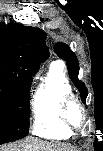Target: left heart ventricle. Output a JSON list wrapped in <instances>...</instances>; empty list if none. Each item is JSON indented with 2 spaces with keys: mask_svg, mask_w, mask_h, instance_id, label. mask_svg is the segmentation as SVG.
I'll return each instance as SVG.
<instances>
[{
  "mask_svg": "<svg viewBox=\"0 0 103 151\" xmlns=\"http://www.w3.org/2000/svg\"><path fill=\"white\" fill-rule=\"evenodd\" d=\"M70 117L75 123H80L82 120V114L79 108L73 105L70 109Z\"/></svg>",
  "mask_w": 103,
  "mask_h": 151,
  "instance_id": "left-heart-ventricle-1",
  "label": "left heart ventricle"
}]
</instances>
